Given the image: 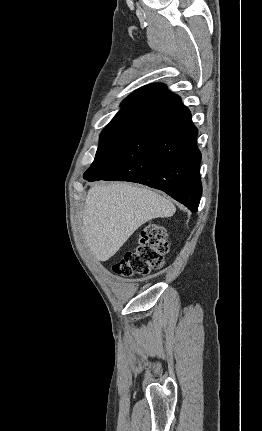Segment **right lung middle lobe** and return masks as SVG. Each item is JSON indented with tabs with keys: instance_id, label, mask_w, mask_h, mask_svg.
Instances as JSON below:
<instances>
[{
	"instance_id": "obj_1",
	"label": "right lung middle lobe",
	"mask_w": 262,
	"mask_h": 431,
	"mask_svg": "<svg viewBox=\"0 0 262 431\" xmlns=\"http://www.w3.org/2000/svg\"><path fill=\"white\" fill-rule=\"evenodd\" d=\"M131 126L127 125H107L101 135L99 147L94 159V164L108 149L109 147Z\"/></svg>"
}]
</instances>
